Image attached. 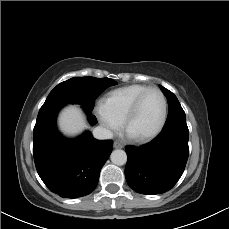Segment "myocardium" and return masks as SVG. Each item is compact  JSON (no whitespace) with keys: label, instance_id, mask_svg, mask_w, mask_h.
I'll return each instance as SVG.
<instances>
[{"label":"myocardium","instance_id":"f54148a6","mask_svg":"<svg viewBox=\"0 0 229 229\" xmlns=\"http://www.w3.org/2000/svg\"><path fill=\"white\" fill-rule=\"evenodd\" d=\"M150 92H157L160 94V96L162 98L163 111H162L161 120H160L159 124L157 125V127L153 131H151L147 134H144V135H132L128 131L129 124L132 121L133 117L135 116L141 101ZM167 115H168V103H167V99H166L164 93L158 88L151 87V88L145 90L144 92L140 93L134 99V101L131 103V105L128 108L127 113L123 119L122 133L127 139L134 141V142L150 141V140L154 139L155 137H157L162 132V130L166 124Z\"/></svg>","mask_w":229,"mask_h":229}]
</instances>
